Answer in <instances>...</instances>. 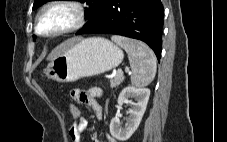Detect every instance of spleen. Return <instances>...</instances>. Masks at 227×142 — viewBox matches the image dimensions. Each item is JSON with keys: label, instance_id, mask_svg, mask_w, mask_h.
I'll return each mask as SVG.
<instances>
[{"label": "spleen", "instance_id": "spleen-1", "mask_svg": "<svg viewBox=\"0 0 227 142\" xmlns=\"http://www.w3.org/2000/svg\"><path fill=\"white\" fill-rule=\"evenodd\" d=\"M112 41L128 54L131 68V83L136 87L150 84L156 74L157 59L154 52L143 42L114 35Z\"/></svg>", "mask_w": 227, "mask_h": 142}]
</instances>
